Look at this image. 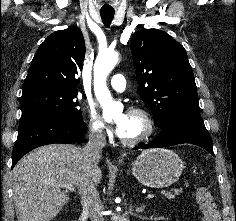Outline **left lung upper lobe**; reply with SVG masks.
<instances>
[{
  "instance_id": "left-lung-upper-lobe-1",
  "label": "left lung upper lobe",
  "mask_w": 236,
  "mask_h": 221,
  "mask_svg": "<svg viewBox=\"0 0 236 221\" xmlns=\"http://www.w3.org/2000/svg\"><path fill=\"white\" fill-rule=\"evenodd\" d=\"M139 94L159 127L177 114H200L197 88L184 47L156 29L137 31L131 40Z\"/></svg>"
}]
</instances>
